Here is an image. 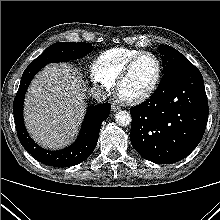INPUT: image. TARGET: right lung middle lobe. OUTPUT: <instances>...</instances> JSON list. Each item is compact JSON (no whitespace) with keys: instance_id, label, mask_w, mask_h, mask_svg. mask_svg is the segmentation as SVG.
<instances>
[{"instance_id":"1","label":"right lung middle lobe","mask_w":220,"mask_h":220,"mask_svg":"<svg viewBox=\"0 0 220 220\" xmlns=\"http://www.w3.org/2000/svg\"><path fill=\"white\" fill-rule=\"evenodd\" d=\"M92 50L90 43L58 42L49 46L29 66L44 67L48 63L76 60Z\"/></svg>"}]
</instances>
